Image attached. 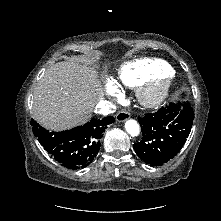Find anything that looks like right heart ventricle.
I'll use <instances>...</instances> for the list:
<instances>
[{
  "label": "right heart ventricle",
  "instance_id": "right-heart-ventricle-1",
  "mask_svg": "<svg viewBox=\"0 0 221 221\" xmlns=\"http://www.w3.org/2000/svg\"><path fill=\"white\" fill-rule=\"evenodd\" d=\"M171 72L169 64L159 59H140L123 64L118 72V82L135 88L150 79Z\"/></svg>",
  "mask_w": 221,
  "mask_h": 221
}]
</instances>
